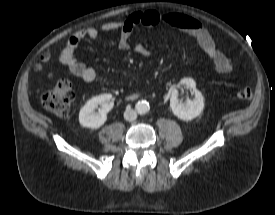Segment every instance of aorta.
Here are the masks:
<instances>
[{
  "mask_svg": "<svg viewBox=\"0 0 275 215\" xmlns=\"http://www.w3.org/2000/svg\"><path fill=\"white\" fill-rule=\"evenodd\" d=\"M136 110L138 111V113L140 114H145L150 110V106L149 103L147 101H139L136 104Z\"/></svg>",
  "mask_w": 275,
  "mask_h": 215,
  "instance_id": "1",
  "label": "aorta"
}]
</instances>
